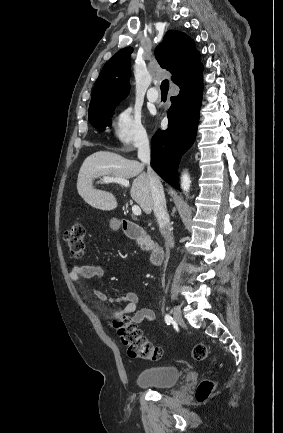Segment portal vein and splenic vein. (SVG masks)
Returning a JSON list of instances; mask_svg holds the SVG:
<instances>
[{
	"instance_id": "obj_1",
	"label": "portal vein and splenic vein",
	"mask_w": 283,
	"mask_h": 433,
	"mask_svg": "<svg viewBox=\"0 0 283 433\" xmlns=\"http://www.w3.org/2000/svg\"><path fill=\"white\" fill-rule=\"evenodd\" d=\"M103 182H118V184H123V186H129V180L127 178H118V176H103ZM133 214H142L140 206L138 204H133L132 206Z\"/></svg>"
}]
</instances>
